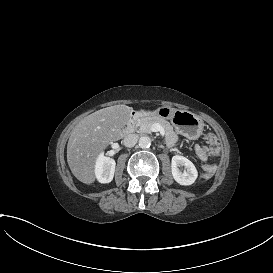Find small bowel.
I'll return each instance as SVG.
<instances>
[{"label":"small bowel","mask_w":273,"mask_h":273,"mask_svg":"<svg viewBox=\"0 0 273 273\" xmlns=\"http://www.w3.org/2000/svg\"><path fill=\"white\" fill-rule=\"evenodd\" d=\"M204 136H205L207 143L209 144L210 152L213 154L218 153L220 150V145H219V141L216 137L215 132L211 129H208L205 131ZM196 154L198 157H200L203 160L208 159L210 156L209 151L204 146L199 147L196 151Z\"/></svg>","instance_id":"small-bowel-1"}]
</instances>
